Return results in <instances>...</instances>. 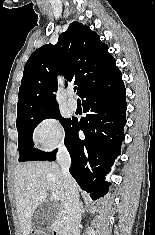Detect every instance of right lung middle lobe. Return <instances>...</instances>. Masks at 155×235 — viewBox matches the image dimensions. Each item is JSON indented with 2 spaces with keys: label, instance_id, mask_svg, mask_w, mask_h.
Returning <instances> with one entry per match:
<instances>
[{
  "label": "right lung middle lobe",
  "instance_id": "right-lung-middle-lobe-1",
  "mask_svg": "<svg viewBox=\"0 0 155 235\" xmlns=\"http://www.w3.org/2000/svg\"><path fill=\"white\" fill-rule=\"evenodd\" d=\"M47 118L60 120L64 126L65 134L72 124L71 119H64L61 117L58 108L44 111H31L17 116L16 127L18 130L19 161H44L47 157L57 151L54 150L51 153H46L33 147V131L42 120Z\"/></svg>",
  "mask_w": 155,
  "mask_h": 235
}]
</instances>
